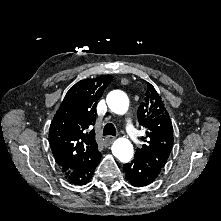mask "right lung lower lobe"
<instances>
[{
    "mask_svg": "<svg viewBox=\"0 0 221 221\" xmlns=\"http://www.w3.org/2000/svg\"><path fill=\"white\" fill-rule=\"evenodd\" d=\"M100 159L101 153L96 149L84 162L72 171L66 173L65 178L74 185L87 184L99 164Z\"/></svg>",
    "mask_w": 221,
    "mask_h": 221,
    "instance_id": "98d812e1",
    "label": "right lung lower lobe"
}]
</instances>
